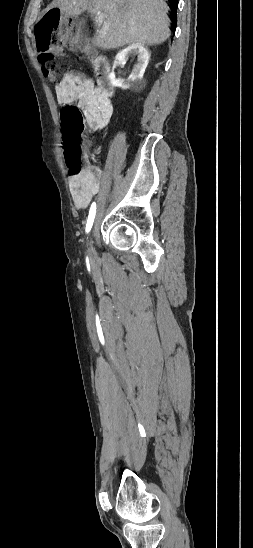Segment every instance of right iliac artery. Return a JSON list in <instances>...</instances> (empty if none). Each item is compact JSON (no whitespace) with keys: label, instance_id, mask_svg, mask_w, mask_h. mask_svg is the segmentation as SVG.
<instances>
[{"label":"right iliac artery","instance_id":"1","mask_svg":"<svg viewBox=\"0 0 253 548\" xmlns=\"http://www.w3.org/2000/svg\"><path fill=\"white\" fill-rule=\"evenodd\" d=\"M95 214H96V203L93 202L91 207H90V211H89V216H88V220H87V224H86V232L88 233L91 228H92V225H93V222H94V218H95Z\"/></svg>","mask_w":253,"mask_h":548}]
</instances>
